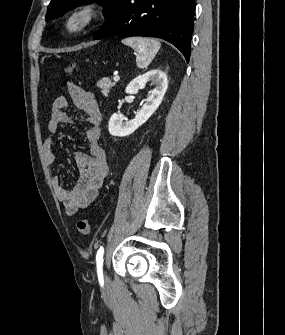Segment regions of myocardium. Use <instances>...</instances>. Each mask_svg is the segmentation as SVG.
<instances>
[{
	"label": "myocardium",
	"instance_id": "f54148a6",
	"mask_svg": "<svg viewBox=\"0 0 285 335\" xmlns=\"http://www.w3.org/2000/svg\"><path fill=\"white\" fill-rule=\"evenodd\" d=\"M98 11L92 6H84L77 10L71 18L73 30H81L89 26L97 17Z\"/></svg>",
	"mask_w": 285,
	"mask_h": 335
}]
</instances>
